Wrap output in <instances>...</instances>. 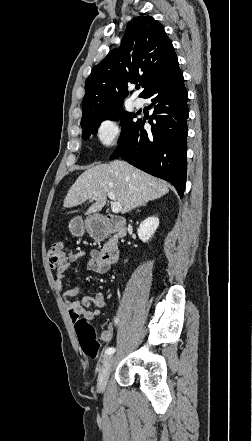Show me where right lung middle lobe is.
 <instances>
[{"label": "right lung middle lobe", "instance_id": "dd1d6c3e", "mask_svg": "<svg viewBox=\"0 0 252 441\" xmlns=\"http://www.w3.org/2000/svg\"><path fill=\"white\" fill-rule=\"evenodd\" d=\"M122 107L123 106H120V107L102 112V113L96 115L95 117H93L92 119H90L89 121L81 124V127L84 128L82 138L84 140H86L90 137L91 134L95 135L97 133L98 126L105 119L118 120L120 118L121 122H122L123 131H122V134H121V137H120V140L118 141V143L122 142L126 138V136L128 135L130 129L135 124V118H136L135 114L129 113V112H124L122 110Z\"/></svg>", "mask_w": 252, "mask_h": 441}]
</instances>
